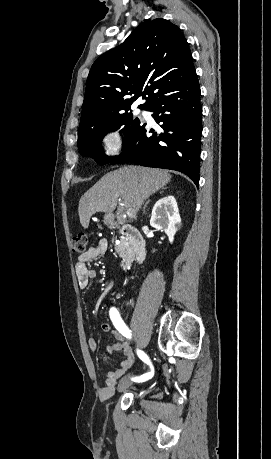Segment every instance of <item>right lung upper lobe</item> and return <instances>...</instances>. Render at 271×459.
<instances>
[{
	"label": "right lung upper lobe",
	"mask_w": 271,
	"mask_h": 459,
	"mask_svg": "<svg viewBox=\"0 0 271 459\" xmlns=\"http://www.w3.org/2000/svg\"><path fill=\"white\" fill-rule=\"evenodd\" d=\"M193 73L191 51L178 26L162 18L144 21L92 65L80 122L126 112L140 96L146 103L139 106H147L163 90Z\"/></svg>",
	"instance_id": "right-lung-upper-lobe-1"
}]
</instances>
